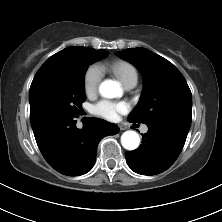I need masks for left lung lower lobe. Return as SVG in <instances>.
Wrapping results in <instances>:
<instances>
[{
	"mask_svg": "<svg viewBox=\"0 0 222 222\" xmlns=\"http://www.w3.org/2000/svg\"><path fill=\"white\" fill-rule=\"evenodd\" d=\"M129 122L135 123L128 119ZM138 149L126 152L129 167L142 175H155L167 170L185 144L189 128L182 120L167 118L146 123Z\"/></svg>",
	"mask_w": 222,
	"mask_h": 222,
	"instance_id": "left-lung-lower-lobe-1",
	"label": "left lung lower lobe"
}]
</instances>
